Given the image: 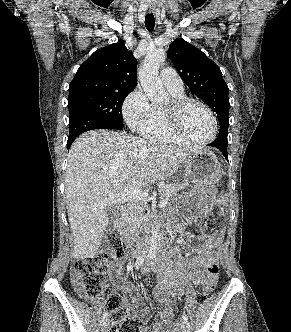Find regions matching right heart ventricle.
<instances>
[{
  "instance_id": "obj_1",
  "label": "right heart ventricle",
  "mask_w": 291,
  "mask_h": 332,
  "mask_svg": "<svg viewBox=\"0 0 291 332\" xmlns=\"http://www.w3.org/2000/svg\"><path fill=\"white\" fill-rule=\"evenodd\" d=\"M171 93L174 99L184 97L183 93H173V92ZM153 114H154V122L152 126L141 132L145 138L154 142H159L164 144H178V145L188 144L187 141L177 136L171 130L165 114L164 107L154 106Z\"/></svg>"
}]
</instances>
